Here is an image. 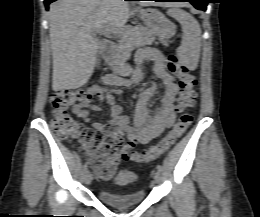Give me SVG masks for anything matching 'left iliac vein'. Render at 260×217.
Returning a JSON list of instances; mask_svg holds the SVG:
<instances>
[{"label": "left iliac vein", "mask_w": 260, "mask_h": 217, "mask_svg": "<svg viewBox=\"0 0 260 217\" xmlns=\"http://www.w3.org/2000/svg\"><path fill=\"white\" fill-rule=\"evenodd\" d=\"M161 180H162V176H161L160 171H156V172L154 173V182H155L156 184H160V183H161Z\"/></svg>", "instance_id": "obj_1"}]
</instances>
